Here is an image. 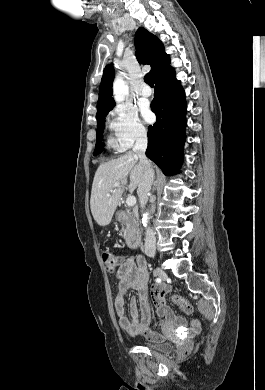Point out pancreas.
<instances>
[{
    "mask_svg": "<svg viewBox=\"0 0 265 390\" xmlns=\"http://www.w3.org/2000/svg\"><path fill=\"white\" fill-rule=\"evenodd\" d=\"M127 220L123 222V231H124V237L127 236V232L130 228H135L137 227V221L135 220V215L133 212H128L127 213ZM126 225V227H125Z\"/></svg>",
    "mask_w": 265,
    "mask_h": 390,
    "instance_id": "pancreas-1",
    "label": "pancreas"
}]
</instances>
